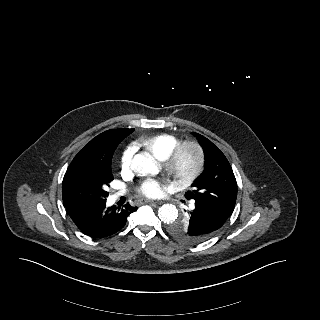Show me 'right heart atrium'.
I'll return each instance as SVG.
<instances>
[{
  "instance_id": "1",
  "label": "right heart atrium",
  "mask_w": 320,
  "mask_h": 320,
  "mask_svg": "<svg viewBox=\"0 0 320 320\" xmlns=\"http://www.w3.org/2000/svg\"><path fill=\"white\" fill-rule=\"evenodd\" d=\"M133 154H134V149L130 145L123 150L121 155V160H120L121 169L123 171H128L130 169Z\"/></svg>"
}]
</instances>
